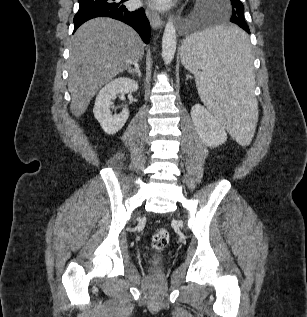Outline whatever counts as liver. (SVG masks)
I'll list each match as a JSON object with an SVG mask.
<instances>
[{
    "mask_svg": "<svg viewBox=\"0 0 307 317\" xmlns=\"http://www.w3.org/2000/svg\"><path fill=\"white\" fill-rule=\"evenodd\" d=\"M69 50L70 111L78 117L104 84L142 56L143 43L128 25L100 17L79 27Z\"/></svg>",
    "mask_w": 307,
    "mask_h": 317,
    "instance_id": "obj_1",
    "label": "liver"
}]
</instances>
